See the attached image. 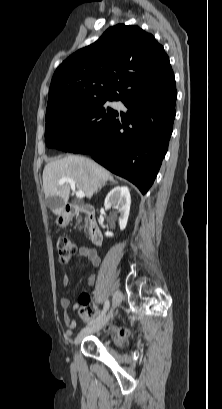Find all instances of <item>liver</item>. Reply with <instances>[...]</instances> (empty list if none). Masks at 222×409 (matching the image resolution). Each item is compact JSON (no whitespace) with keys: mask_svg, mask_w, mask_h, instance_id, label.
<instances>
[{"mask_svg":"<svg viewBox=\"0 0 222 409\" xmlns=\"http://www.w3.org/2000/svg\"><path fill=\"white\" fill-rule=\"evenodd\" d=\"M64 177L72 178L77 189L82 190L89 199L103 183L112 178L105 168L81 156L69 155L47 163L42 176L43 189L46 199L52 197L59 200V205L51 207L56 215L63 211L69 199V184L59 185V180Z\"/></svg>","mask_w":222,"mask_h":409,"instance_id":"1","label":"liver"}]
</instances>
